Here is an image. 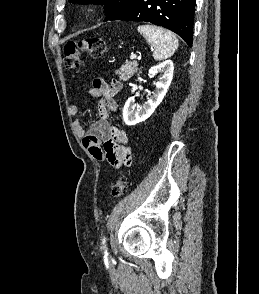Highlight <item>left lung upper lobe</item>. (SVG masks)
I'll return each instance as SVG.
<instances>
[{
  "label": "left lung upper lobe",
  "instance_id": "obj_1",
  "mask_svg": "<svg viewBox=\"0 0 259 294\" xmlns=\"http://www.w3.org/2000/svg\"><path fill=\"white\" fill-rule=\"evenodd\" d=\"M70 3H80V4H100L104 5V11L106 13V18L108 19L126 6L133 3L135 0H68Z\"/></svg>",
  "mask_w": 259,
  "mask_h": 294
}]
</instances>
